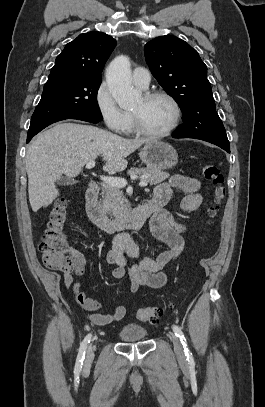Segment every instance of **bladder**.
Here are the masks:
<instances>
[{
    "label": "bladder",
    "instance_id": "31cf9c89",
    "mask_svg": "<svg viewBox=\"0 0 265 407\" xmlns=\"http://www.w3.org/2000/svg\"><path fill=\"white\" fill-rule=\"evenodd\" d=\"M147 336V330L137 324H125L119 331V338L123 342L142 341Z\"/></svg>",
    "mask_w": 265,
    "mask_h": 407
}]
</instances>
